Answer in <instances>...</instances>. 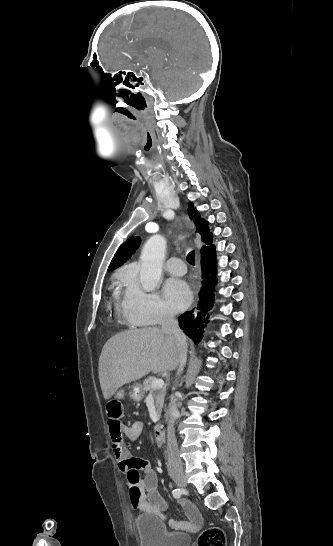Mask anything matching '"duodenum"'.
Returning a JSON list of instances; mask_svg holds the SVG:
<instances>
[{"mask_svg":"<svg viewBox=\"0 0 333 546\" xmlns=\"http://www.w3.org/2000/svg\"><path fill=\"white\" fill-rule=\"evenodd\" d=\"M153 438L157 445H162L163 443V430L162 427L157 425L153 430Z\"/></svg>","mask_w":333,"mask_h":546,"instance_id":"410a0bca","label":"duodenum"}]
</instances>
